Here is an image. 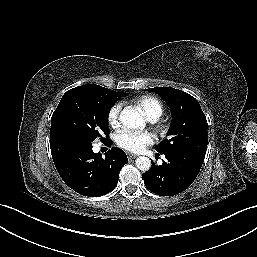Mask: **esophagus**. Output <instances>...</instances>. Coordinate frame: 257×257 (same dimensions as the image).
Instances as JSON below:
<instances>
[{
	"mask_svg": "<svg viewBox=\"0 0 257 257\" xmlns=\"http://www.w3.org/2000/svg\"><path fill=\"white\" fill-rule=\"evenodd\" d=\"M127 157H128V159H135L137 157V155L132 154V153H127Z\"/></svg>",
	"mask_w": 257,
	"mask_h": 257,
	"instance_id": "esophagus-1",
	"label": "esophagus"
}]
</instances>
